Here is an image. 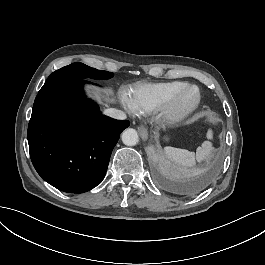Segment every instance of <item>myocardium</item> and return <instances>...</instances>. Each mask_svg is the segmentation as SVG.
I'll use <instances>...</instances> for the list:
<instances>
[{
  "mask_svg": "<svg viewBox=\"0 0 265 265\" xmlns=\"http://www.w3.org/2000/svg\"><path fill=\"white\" fill-rule=\"evenodd\" d=\"M196 90L194 100L189 103H183V97L189 89ZM203 91L201 87L194 82H185L174 94V96L160 109V120L166 125H178L189 118L203 102Z\"/></svg>",
  "mask_w": 265,
  "mask_h": 265,
  "instance_id": "obj_1",
  "label": "myocardium"
}]
</instances>
